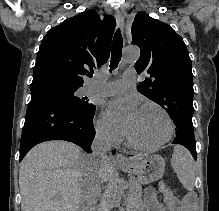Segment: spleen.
I'll return each mask as SVG.
<instances>
[{"mask_svg": "<svg viewBox=\"0 0 219 211\" xmlns=\"http://www.w3.org/2000/svg\"><path fill=\"white\" fill-rule=\"evenodd\" d=\"M171 165L185 189L193 191L195 185V165L190 151L183 147V145H175Z\"/></svg>", "mask_w": 219, "mask_h": 211, "instance_id": "spleen-1", "label": "spleen"}]
</instances>
